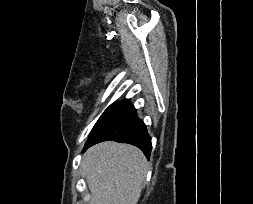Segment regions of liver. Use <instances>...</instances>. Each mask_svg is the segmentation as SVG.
<instances>
[{
	"mask_svg": "<svg viewBox=\"0 0 253 204\" xmlns=\"http://www.w3.org/2000/svg\"><path fill=\"white\" fill-rule=\"evenodd\" d=\"M90 204H137L148 162L140 149L113 141L89 148L81 163Z\"/></svg>",
	"mask_w": 253,
	"mask_h": 204,
	"instance_id": "liver-1",
	"label": "liver"
}]
</instances>
